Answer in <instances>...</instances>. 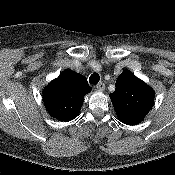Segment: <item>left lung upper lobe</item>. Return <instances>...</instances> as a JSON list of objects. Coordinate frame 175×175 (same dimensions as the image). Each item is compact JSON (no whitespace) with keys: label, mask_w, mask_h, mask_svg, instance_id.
<instances>
[{"label":"left lung upper lobe","mask_w":175,"mask_h":175,"mask_svg":"<svg viewBox=\"0 0 175 175\" xmlns=\"http://www.w3.org/2000/svg\"><path fill=\"white\" fill-rule=\"evenodd\" d=\"M115 86L110 98L119 120L127 125L140 123L153 106L154 90L129 70L121 73Z\"/></svg>","instance_id":"left-lung-upper-lobe-1"}]
</instances>
